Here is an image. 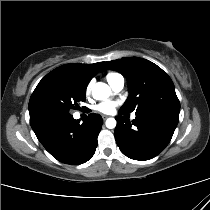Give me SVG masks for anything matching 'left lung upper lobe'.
Segmentation results:
<instances>
[{
	"label": "left lung upper lobe",
	"mask_w": 210,
	"mask_h": 210,
	"mask_svg": "<svg viewBox=\"0 0 210 210\" xmlns=\"http://www.w3.org/2000/svg\"><path fill=\"white\" fill-rule=\"evenodd\" d=\"M116 70L128 80L129 96L123 112L165 111L179 114L180 103L171 78L156 64L143 58L124 57L103 62V70Z\"/></svg>",
	"instance_id": "5c2ea615"
}]
</instances>
